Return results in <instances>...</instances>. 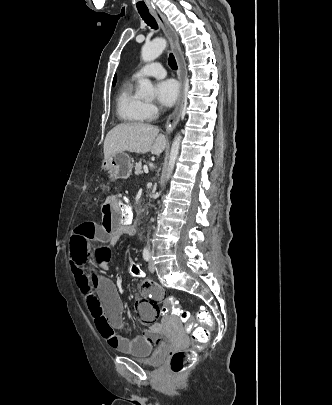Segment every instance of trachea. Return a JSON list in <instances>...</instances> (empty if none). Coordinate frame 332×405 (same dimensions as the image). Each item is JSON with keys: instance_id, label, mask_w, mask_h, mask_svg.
Segmentation results:
<instances>
[{"instance_id": "3493384b", "label": "trachea", "mask_w": 332, "mask_h": 405, "mask_svg": "<svg viewBox=\"0 0 332 405\" xmlns=\"http://www.w3.org/2000/svg\"><path fill=\"white\" fill-rule=\"evenodd\" d=\"M138 12L148 26H150L153 29H156L158 27L156 20L154 19V17L150 14V12L148 10H143V11H138ZM168 64L172 69L177 70V63H176L175 57L172 53H170V55H169Z\"/></svg>"}]
</instances>
